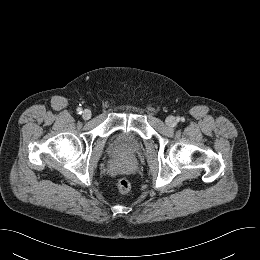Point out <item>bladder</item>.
<instances>
[{"mask_svg": "<svg viewBox=\"0 0 260 260\" xmlns=\"http://www.w3.org/2000/svg\"><path fill=\"white\" fill-rule=\"evenodd\" d=\"M111 149L120 155L133 156L141 151L142 142L134 133H124L114 139Z\"/></svg>", "mask_w": 260, "mask_h": 260, "instance_id": "obj_1", "label": "bladder"}]
</instances>
